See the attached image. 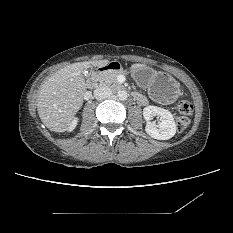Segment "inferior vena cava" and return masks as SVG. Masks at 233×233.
<instances>
[{
  "instance_id": "602c4592",
  "label": "inferior vena cava",
  "mask_w": 233,
  "mask_h": 233,
  "mask_svg": "<svg viewBox=\"0 0 233 233\" xmlns=\"http://www.w3.org/2000/svg\"><path fill=\"white\" fill-rule=\"evenodd\" d=\"M112 91L108 86H101L94 90V97L98 100L109 98Z\"/></svg>"
}]
</instances>
